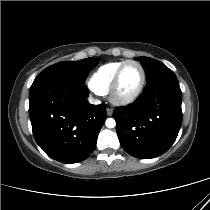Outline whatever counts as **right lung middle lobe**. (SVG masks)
<instances>
[{
  "instance_id": "right-lung-middle-lobe-1",
  "label": "right lung middle lobe",
  "mask_w": 210,
  "mask_h": 210,
  "mask_svg": "<svg viewBox=\"0 0 210 210\" xmlns=\"http://www.w3.org/2000/svg\"><path fill=\"white\" fill-rule=\"evenodd\" d=\"M95 58H86L79 61H63L44 69L34 81L61 79L85 83L89 71L98 64Z\"/></svg>"
}]
</instances>
